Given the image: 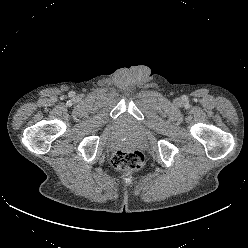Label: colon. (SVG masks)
Instances as JSON below:
<instances>
[{
	"instance_id": "colon-1",
	"label": "colon",
	"mask_w": 248,
	"mask_h": 248,
	"mask_svg": "<svg viewBox=\"0 0 248 248\" xmlns=\"http://www.w3.org/2000/svg\"><path fill=\"white\" fill-rule=\"evenodd\" d=\"M144 155L135 149L122 148L112 155L113 166L120 171H136L144 165Z\"/></svg>"
}]
</instances>
